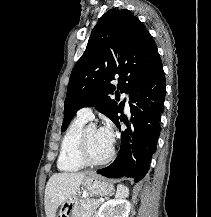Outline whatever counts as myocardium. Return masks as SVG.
<instances>
[{
    "mask_svg": "<svg viewBox=\"0 0 211 217\" xmlns=\"http://www.w3.org/2000/svg\"><path fill=\"white\" fill-rule=\"evenodd\" d=\"M90 128H95V127L84 128L80 134L79 141H78V148H77L78 157L81 160V162L86 166H100V165L107 164L114 157L115 149L114 147H111V150L108 153V155L102 159L92 158L88 151V141H87V134Z\"/></svg>",
    "mask_w": 211,
    "mask_h": 217,
    "instance_id": "f54148a6",
    "label": "myocardium"
}]
</instances>
